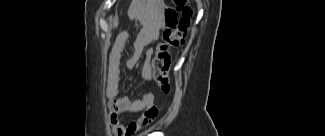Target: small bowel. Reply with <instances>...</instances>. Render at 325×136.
Masks as SVG:
<instances>
[{"label": "small bowel", "mask_w": 325, "mask_h": 136, "mask_svg": "<svg viewBox=\"0 0 325 136\" xmlns=\"http://www.w3.org/2000/svg\"><path fill=\"white\" fill-rule=\"evenodd\" d=\"M161 28L162 20L160 17H153L145 23V26L133 41V55L128 61V66L135 65L140 59L145 47L158 39ZM127 40L128 34L126 32L120 33L116 38L109 55V65L105 87V94L110 109V123L113 132L117 136H132L136 134L141 129L150 125L157 115V109L154 106V95L151 92L145 93L141 98L118 96L120 62ZM152 54L153 50L151 48L147 49L145 52V61L142 67V78L146 82H150L152 80ZM126 112H142V115L133 122L123 124L119 120V115Z\"/></svg>", "instance_id": "c3829d8e"}]
</instances>
